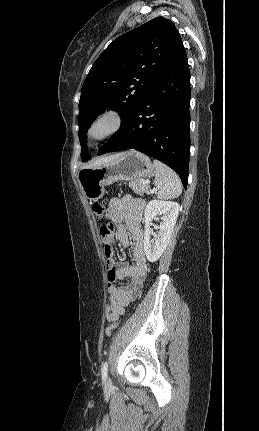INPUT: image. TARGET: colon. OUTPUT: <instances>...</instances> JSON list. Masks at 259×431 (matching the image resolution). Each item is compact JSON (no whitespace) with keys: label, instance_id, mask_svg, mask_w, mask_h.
Wrapping results in <instances>:
<instances>
[{"label":"colon","instance_id":"1","mask_svg":"<svg viewBox=\"0 0 259 431\" xmlns=\"http://www.w3.org/2000/svg\"><path fill=\"white\" fill-rule=\"evenodd\" d=\"M92 211L95 214L96 217L100 218L104 213V207L101 203L96 202L92 205ZM114 234V226L112 223L106 222L102 223L100 226V236L101 239L105 245L104 251L105 253L109 252V242L111 241V238ZM118 327V322L113 321L111 324H109L106 328V334L108 336H111L116 328Z\"/></svg>","mask_w":259,"mask_h":431}]
</instances>
